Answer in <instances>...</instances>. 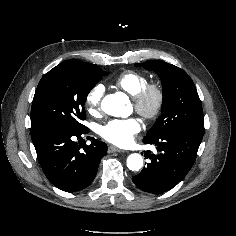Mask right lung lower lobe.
Masks as SVG:
<instances>
[{"mask_svg": "<svg viewBox=\"0 0 236 236\" xmlns=\"http://www.w3.org/2000/svg\"><path fill=\"white\" fill-rule=\"evenodd\" d=\"M88 132L87 127L80 131L52 126L31 128V138L44 174L63 191L86 188L95 178L101 158L107 154V145L95 138L85 146L75 141Z\"/></svg>", "mask_w": 236, "mask_h": 236, "instance_id": "obj_1", "label": "right lung lower lobe"}]
</instances>
